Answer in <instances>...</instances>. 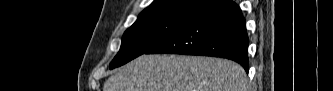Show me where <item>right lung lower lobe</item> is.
I'll list each match as a JSON object with an SVG mask.
<instances>
[{"label": "right lung lower lobe", "mask_w": 333, "mask_h": 91, "mask_svg": "<svg viewBox=\"0 0 333 91\" xmlns=\"http://www.w3.org/2000/svg\"><path fill=\"white\" fill-rule=\"evenodd\" d=\"M248 36L239 6L219 0L145 54L214 56L234 60L249 71Z\"/></svg>", "instance_id": "right-lung-lower-lobe-1"}]
</instances>
